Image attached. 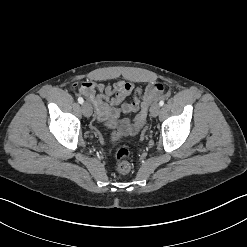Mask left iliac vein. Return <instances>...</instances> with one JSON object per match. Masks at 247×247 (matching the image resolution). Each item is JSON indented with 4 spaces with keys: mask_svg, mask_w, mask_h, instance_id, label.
<instances>
[{
    "mask_svg": "<svg viewBox=\"0 0 247 247\" xmlns=\"http://www.w3.org/2000/svg\"><path fill=\"white\" fill-rule=\"evenodd\" d=\"M159 112H160V105L157 103L153 104L150 108L151 116L156 117L158 116Z\"/></svg>",
    "mask_w": 247,
    "mask_h": 247,
    "instance_id": "left-iliac-vein-1",
    "label": "left iliac vein"
}]
</instances>
